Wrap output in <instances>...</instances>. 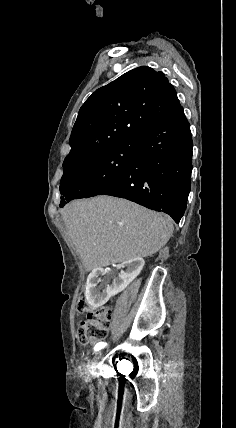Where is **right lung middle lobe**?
Masks as SVG:
<instances>
[{
	"mask_svg": "<svg viewBox=\"0 0 236 428\" xmlns=\"http://www.w3.org/2000/svg\"><path fill=\"white\" fill-rule=\"evenodd\" d=\"M136 153V139L126 140L63 168L59 206L64 207L73 199L94 196L130 164Z\"/></svg>",
	"mask_w": 236,
	"mask_h": 428,
	"instance_id": "1",
	"label": "right lung middle lobe"
}]
</instances>
